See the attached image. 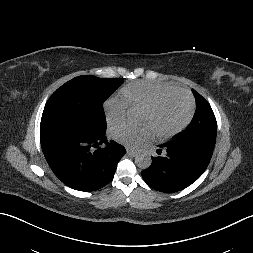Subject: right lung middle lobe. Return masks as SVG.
Here are the masks:
<instances>
[{"label":"right lung middle lobe","mask_w":253,"mask_h":253,"mask_svg":"<svg viewBox=\"0 0 253 253\" xmlns=\"http://www.w3.org/2000/svg\"><path fill=\"white\" fill-rule=\"evenodd\" d=\"M124 79H103L82 75L58 88L48 99L41 118V127L62 124L90 134L106 132L105 100Z\"/></svg>","instance_id":"1"}]
</instances>
